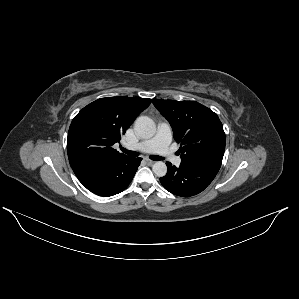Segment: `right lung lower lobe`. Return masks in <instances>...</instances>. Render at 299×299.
Masks as SVG:
<instances>
[{"mask_svg": "<svg viewBox=\"0 0 299 299\" xmlns=\"http://www.w3.org/2000/svg\"><path fill=\"white\" fill-rule=\"evenodd\" d=\"M141 160L127 156L100 161L77 169L74 173L89 191L108 197L122 192L130 184Z\"/></svg>", "mask_w": 299, "mask_h": 299, "instance_id": "1", "label": "right lung lower lobe"}]
</instances>
